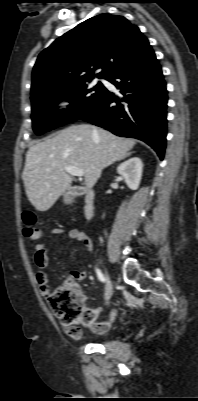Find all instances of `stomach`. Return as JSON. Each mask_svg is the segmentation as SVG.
<instances>
[{"instance_id":"obj_1","label":"stomach","mask_w":198,"mask_h":401,"mask_svg":"<svg viewBox=\"0 0 198 401\" xmlns=\"http://www.w3.org/2000/svg\"><path fill=\"white\" fill-rule=\"evenodd\" d=\"M64 201H65L66 203H69L70 200H69L68 197L65 196V197H64Z\"/></svg>"}]
</instances>
